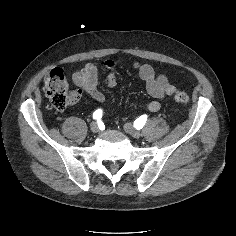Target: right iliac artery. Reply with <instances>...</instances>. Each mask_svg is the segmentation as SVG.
Segmentation results:
<instances>
[{
  "label": "right iliac artery",
  "instance_id": "82829eb1",
  "mask_svg": "<svg viewBox=\"0 0 236 236\" xmlns=\"http://www.w3.org/2000/svg\"><path fill=\"white\" fill-rule=\"evenodd\" d=\"M100 118H102V110L98 109L93 113V119L99 120Z\"/></svg>",
  "mask_w": 236,
  "mask_h": 236
}]
</instances>
